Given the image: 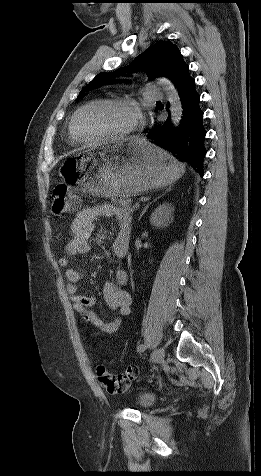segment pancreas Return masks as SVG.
I'll return each mask as SVG.
<instances>
[{
    "label": "pancreas",
    "instance_id": "pancreas-1",
    "mask_svg": "<svg viewBox=\"0 0 261 476\" xmlns=\"http://www.w3.org/2000/svg\"><path fill=\"white\" fill-rule=\"evenodd\" d=\"M115 202L119 204L120 208L123 211L129 214L133 213L137 209L135 206H132V202L130 199L121 198L116 200Z\"/></svg>",
    "mask_w": 261,
    "mask_h": 476
}]
</instances>
